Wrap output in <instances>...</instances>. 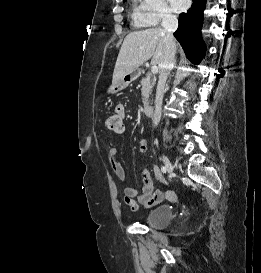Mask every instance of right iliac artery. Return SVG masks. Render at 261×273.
Segmentation results:
<instances>
[{
	"mask_svg": "<svg viewBox=\"0 0 261 273\" xmlns=\"http://www.w3.org/2000/svg\"><path fill=\"white\" fill-rule=\"evenodd\" d=\"M161 171H162L163 173H166V168L163 166V167L161 168Z\"/></svg>",
	"mask_w": 261,
	"mask_h": 273,
	"instance_id": "82829eb1",
	"label": "right iliac artery"
}]
</instances>
